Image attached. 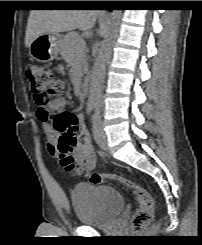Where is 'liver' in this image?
I'll return each mask as SVG.
<instances>
[{
  "label": "liver",
  "mask_w": 202,
  "mask_h": 245,
  "mask_svg": "<svg viewBox=\"0 0 202 245\" xmlns=\"http://www.w3.org/2000/svg\"><path fill=\"white\" fill-rule=\"evenodd\" d=\"M98 12L96 10H31L25 35V45L45 33L82 31L94 27Z\"/></svg>",
  "instance_id": "liver-1"
}]
</instances>
